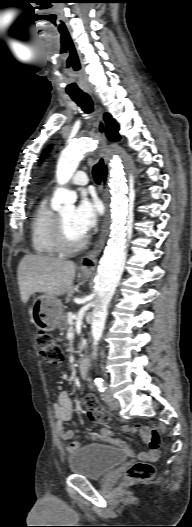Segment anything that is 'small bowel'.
I'll return each instance as SVG.
<instances>
[{
  "instance_id": "obj_1",
  "label": "small bowel",
  "mask_w": 192,
  "mask_h": 527,
  "mask_svg": "<svg viewBox=\"0 0 192 527\" xmlns=\"http://www.w3.org/2000/svg\"><path fill=\"white\" fill-rule=\"evenodd\" d=\"M54 414L56 417V432L63 442H69L67 450L68 452H73L80 447V442L73 440L74 431L66 430L64 428V422L71 421L73 419V402L68 392L62 391L57 396V403L54 404ZM125 427H128V424H125ZM134 432L139 433L143 438H146L149 433L148 428L143 427L141 423H134L132 426ZM125 432H130V429H125ZM101 441L106 443H111L120 447L125 448L129 453L133 454L132 448L123 440L114 439L112 437V432L107 427H102L100 433L97 436ZM156 450L149 449L140 454L138 461L140 464H150L153 465L156 463Z\"/></svg>"
}]
</instances>
